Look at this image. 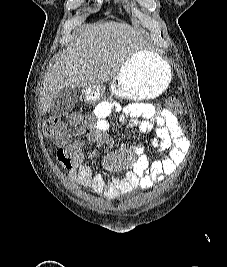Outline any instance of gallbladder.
I'll use <instances>...</instances> for the list:
<instances>
[{"instance_id":"obj_1","label":"gallbladder","mask_w":227,"mask_h":267,"mask_svg":"<svg viewBox=\"0 0 227 267\" xmlns=\"http://www.w3.org/2000/svg\"><path fill=\"white\" fill-rule=\"evenodd\" d=\"M78 100L76 89L66 88L57 93L48 108V113L53 116H62L70 112Z\"/></svg>"}]
</instances>
